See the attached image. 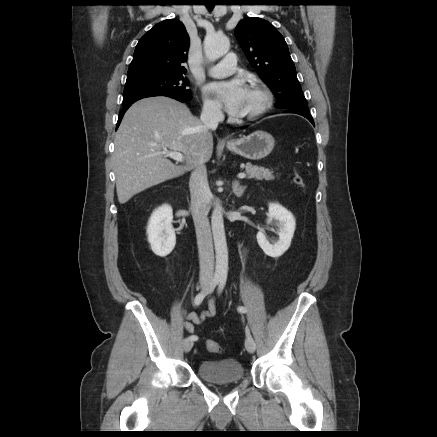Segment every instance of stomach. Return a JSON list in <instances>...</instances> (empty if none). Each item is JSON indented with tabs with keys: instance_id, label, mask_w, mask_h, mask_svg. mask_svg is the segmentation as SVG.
<instances>
[{
	"instance_id": "obj_1",
	"label": "stomach",
	"mask_w": 437,
	"mask_h": 437,
	"mask_svg": "<svg viewBox=\"0 0 437 437\" xmlns=\"http://www.w3.org/2000/svg\"><path fill=\"white\" fill-rule=\"evenodd\" d=\"M274 145L273 136L260 130L226 143L228 150L249 160L265 158L272 152Z\"/></svg>"
}]
</instances>
